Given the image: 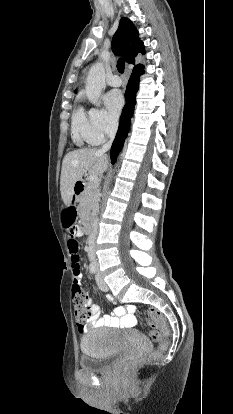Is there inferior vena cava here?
<instances>
[{
	"label": "inferior vena cava",
	"mask_w": 233,
	"mask_h": 414,
	"mask_svg": "<svg viewBox=\"0 0 233 414\" xmlns=\"http://www.w3.org/2000/svg\"><path fill=\"white\" fill-rule=\"evenodd\" d=\"M117 129H118V120L117 119H112L110 121L109 131H108L109 141L101 147L99 152L105 153L111 148V145L113 143V140H114L116 132H117ZM94 226H95V229H92L91 232L88 235L89 239L87 241V246H88V254L87 255H88L89 258H91V261L96 264L97 259L95 258V255H96L95 253L97 252V246H96V240H97L96 239V236H97L96 235V233H97L96 228L98 226V218L97 217L94 220Z\"/></svg>",
	"instance_id": "inferior-vena-cava-1"
}]
</instances>
